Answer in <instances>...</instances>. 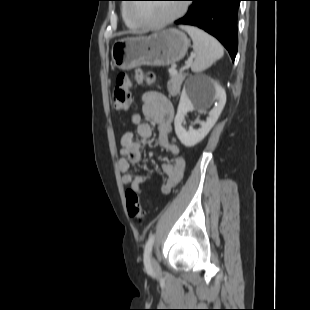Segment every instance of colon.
Returning <instances> with one entry per match:
<instances>
[{
  "mask_svg": "<svg viewBox=\"0 0 310 310\" xmlns=\"http://www.w3.org/2000/svg\"><path fill=\"white\" fill-rule=\"evenodd\" d=\"M133 82L150 84L154 82V75L142 69H136L133 74L119 73L116 77L112 97L113 106L116 110L125 111L130 107ZM125 197L129 216L135 221L141 222L144 218V210L138 193L133 189H128Z\"/></svg>",
  "mask_w": 310,
  "mask_h": 310,
  "instance_id": "obj_1",
  "label": "colon"
}]
</instances>
